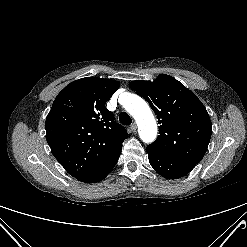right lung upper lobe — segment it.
<instances>
[{"label": "right lung upper lobe", "mask_w": 247, "mask_h": 247, "mask_svg": "<svg viewBox=\"0 0 247 247\" xmlns=\"http://www.w3.org/2000/svg\"><path fill=\"white\" fill-rule=\"evenodd\" d=\"M115 80L86 77L68 84L46 118V140L64 169L81 179L121 152L128 137L105 103L119 88Z\"/></svg>", "instance_id": "cb5924a9"}]
</instances>
